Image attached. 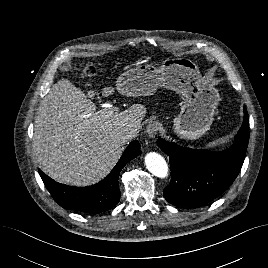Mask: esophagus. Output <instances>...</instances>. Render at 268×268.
Segmentation results:
<instances>
[{
  "mask_svg": "<svg viewBox=\"0 0 268 268\" xmlns=\"http://www.w3.org/2000/svg\"><path fill=\"white\" fill-rule=\"evenodd\" d=\"M160 125L158 122H151L146 126L145 133L148 137H153L157 134Z\"/></svg>",
  "mask_w": 268,
  "mask_h": 268,
  "instance_id": "obj_1",
  "label": "esophagus"
}]
</instances>
